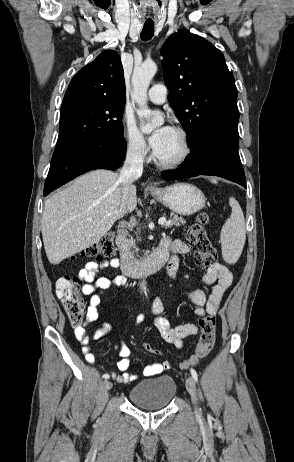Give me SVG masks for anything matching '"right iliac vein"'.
Listing matches in <instances>:
<instances>
[{"label":"right iliac vein","mask_w":294,"mask_h":462,"mask_svg":"<svg viewBox=\"0 0 294 462\" xmlns=\"http://www.w3.org/2000/svg\"><path fill=\"white\" fill-rule=\"evenodd\" d=\"M104 386H105V389H106V390H110V389L112 388V383L106 381V382L104 383Z\"/></svg>","instance_id":"right-iliac-vein-1"}]
</instances>
